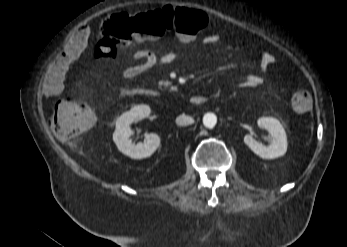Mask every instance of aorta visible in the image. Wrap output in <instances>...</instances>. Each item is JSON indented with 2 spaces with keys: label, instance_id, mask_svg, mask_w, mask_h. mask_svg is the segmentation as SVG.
Listing matches in <instances>:
<instances>
[{
  "label": "aorta",
  "instance_id": "aorta-1",
  "mask_svg": "<svg viewBox=\"0 0 347 247\" xmlns=\"http://www.w3.org/2000/svg\"><path fill=\"white\" fill-rule=\"evenodd\" d=\"M217 123V117L214 113H206L203 117V124L207 128H213Z\"/></svg>",
  "mask_w": 347,
  "mask_h": 247
}]
</instances>
